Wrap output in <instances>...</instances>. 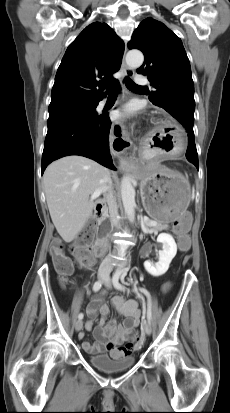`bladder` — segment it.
I'll use <instances>...</instances> for the list:
<instances>
[{"label":"bladder","mask_w":230,"mask_h":413,"mask_svg":"<svg viewBox=\"0 0 230 413\" xmlns=\"http://www.w3.org/2000/svg\"><path fill=\"white\" fill-rule=\"evenodd\" d=\"M89 362L100 371L114 373L125 371L133 367L135 364V358L133 356H126L115 359L111 358L109 355L102 354L90 356Z\"/></svg>","instance_id":"bladder-1"}]
</instances>
